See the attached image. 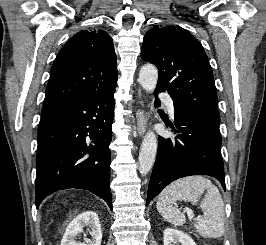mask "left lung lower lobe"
<instances>
[{
	"mask_svg": "<svg viewBox=\"0 0 266 245\" xmlns=\"http://www.w3.org/2000/svg\"><path fill=\"white\" fill-rule=\"evenodd\" d=\"M163 92L156 89L155 93ZM157 106L160 101L155 102ZM175 139L159 136L158 152L147 192V205L172 181L191 175L217 178L225 190L219 121L174 104ZM169 126V124H166Z\"/></svg>",
	"mask_w": 266,
	"mask_h": 245,
	"instance_id": "0a47b994",
	"label": "left lung lower lobe"
}]
</instances>
